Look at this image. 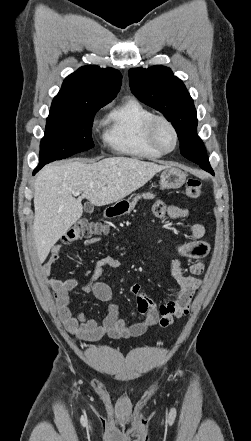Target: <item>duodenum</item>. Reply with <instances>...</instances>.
<instances>
[{"mask_svg":"<svg viewBox=\"0 0 251 441\" xmlns=\"http://www.w3.org/2000/svg\"><path fill=\"white\" fill-rule=\"evenodd\" d=\"M117 214H119L118 213V211H117V209L116 208H109L108 210H107V215L109 216V217H112V216H115V215H117Z\"/></svg>","mask_w":251,"mask_h":441,"instance_id":"410a0bca","label":"duodenum"}]
</instances>
